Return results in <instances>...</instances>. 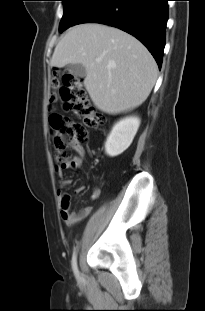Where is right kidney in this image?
Listing matches in <instances>:
<instances>
[{"mask_svg":"<svg viewBox=\"0 0 205 311\" xmlns=\"http://www.w3.org/2000/svg\"><path fill=\"white\" fill-rule=\"evenodd\" d=\"M140 119L130 116L118 121L112 128L105 142V153L115 157L123 153L132 143L138 128Z\"/></svg>","mask_w":205,"mask_h":311,"instance_id":"obj_1","label":"right kidney"}]
</instances>
